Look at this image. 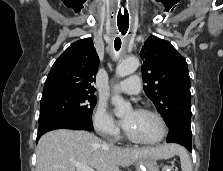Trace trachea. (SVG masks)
<instances>
[{
	"instance_id": "3493384b",
	"label": "trachea",
	"mask_w": 223,
	"mask_h": 171,
	"mask_svg": "<svg viewBox=\"0 0 223 171\" xmlns=\"http://www.w3.org/2000/svg\"><path fill=\"white\" fill-rule=\"evenodd\" d=\"M114 47L115 50L118 51L121 47V39L119 37H117L114 41Z\"/></svg>"
}]
</instances>
